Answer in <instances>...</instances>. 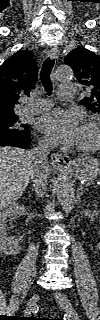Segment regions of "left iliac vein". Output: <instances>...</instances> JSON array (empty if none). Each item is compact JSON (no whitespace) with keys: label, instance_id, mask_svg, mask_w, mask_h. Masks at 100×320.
I'll use <instances>...</instances> for the list:
<instances>
[{"label":"left iliac vein","instance_id":"obj_1","mask_svg":"<svg viewBox=\"0 0 100 320\" xmlns=\"http://www.w3.org/2000/svg\"><path fill=\"white\" fill-rule=\"evenodd\" d=\"M54 298L57 303L63 308L68 314L71 315L72 320H79V315L74 309L72 303L70 302L69 298L62 292H57L54 294Z\"/></svg>","mask_w":100,"mask_h":320}]
</instances>
